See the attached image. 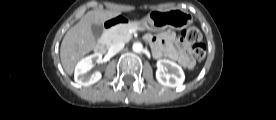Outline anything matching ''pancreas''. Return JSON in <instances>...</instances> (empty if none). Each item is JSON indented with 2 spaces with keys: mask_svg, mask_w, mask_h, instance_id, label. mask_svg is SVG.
<instances>
[{
  "mask_svg": "<svg viewBox=\"0 0 276 120\" xmlns=\"http://www.w3.org/2000/svg\"><path fill=\"white\" fill-rule=\"evenodd\" d=\"M131 28H141L137 23L119 24L106 32L107 43L128 42L132 35L129 33Z\"/></svg>",
  "mask_w": 276,
  "mask_h": 120,
  "instance_id": "pancreas-1",
  "label": "pancreas"
}]
</instances>
